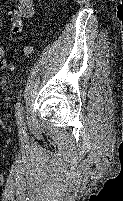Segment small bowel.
<instances>
[{
  "label": "small bowel",
  "instance_id": "c3829d8e",
  "mask_svg": "<svg viewBox=\"0 0 123 201\" xmlns=\"http://www.w3.org/2000/svg\"><path fill=\"white\" fill-rule=\"evenodd\" d=\"M16 7L6 16L10 31L14 34L21 32L22 20L30 18L34 14V0H12Z\"/></svg>",
  "mask_w": 123,
  "mask_h": 201
}]
</instances>
